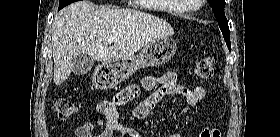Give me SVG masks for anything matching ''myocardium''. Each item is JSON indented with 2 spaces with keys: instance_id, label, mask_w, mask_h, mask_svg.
I'll list each match as a JSON object with an SVG mask.
<instances>
[{
  "instance_id": "1",
  "label": "myocardium",
  "mask_w": 280,
  "mask_h": 137,
  "mask_svg": "<svg viewBox=\"0 0 280 137\" xmlns=\"http://www.w3.org/2000/svg\"><path fill=\"white\" fill-rule=\"evenodd\" d=\"M186 2H188V3L185 6L188 9L194 10L198 6V4H191V3H189V2H192V1L186 0ZM198 2H202V0H198Z\"/></svg>"
}]
</instances>
